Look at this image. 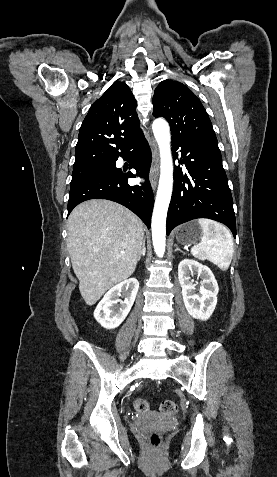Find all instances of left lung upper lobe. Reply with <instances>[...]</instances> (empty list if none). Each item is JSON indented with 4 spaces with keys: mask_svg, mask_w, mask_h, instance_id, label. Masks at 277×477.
I'll use <instances>...</instances> for the list:
<instances>
[{
    "mask_svg": "<svg viewBox=\"0 0 277 477\" xmlns=\"http://www.w3.org/2000/svg\"><path fill=\"white\" fill-rule=\"evenodd\" d=\"M153 115L170 123L172 138L217 140L200 100L180 82L162 81L153 96Z\"/></svg>",
    "mask_w": 277,
    "mask_h": 477,
    "instance_id": "5c2ea615",
    "label": "left lung upper lobe"
}]
</instances>
